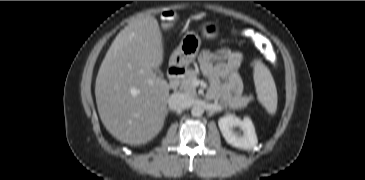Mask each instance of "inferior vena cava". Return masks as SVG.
Here are the masks:
<instances>
[{
  "mask_svg": "<svg viewBox=\"0 0 365 180\" xmlns=\"http://www.w3.org/2000/svg\"><path fill=\"white\" fill-rule=\"evenodd\" d=\"M190 98L183 93H174L168 99V105L171 110L186 109L190 106Z\"/></svg>",
  "mask_w": 365,
  "mask_h": 180,
  "instance_id": "obj_1",
  "label": "inferior vena cava"
}]
</instances>
